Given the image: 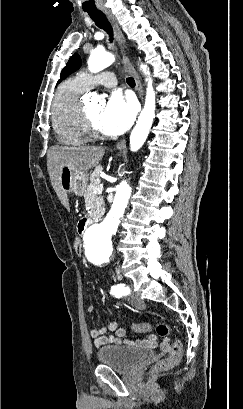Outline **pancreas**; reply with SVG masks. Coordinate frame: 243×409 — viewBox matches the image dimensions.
<instances>
[{"mask_svg": "<svg viewBox=\"0 0 243 409\" xmlns=\"http://www.w3.org/2000/svg\"><path fill=\"white\" fill-rule=\"evenodd\" d=\"M102 169V166H98L90 175V184L84 195L85 204L90 209V217L96 220H99L105 212L103 197L94 193V189L100 185L99 173Z\"/></svg>", "mask_w": 243, "mask_h": 409, "instance_id": "1", "label": "pancreas"}]
</instances>
